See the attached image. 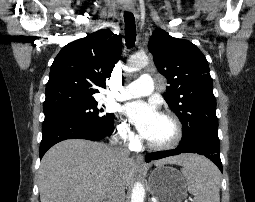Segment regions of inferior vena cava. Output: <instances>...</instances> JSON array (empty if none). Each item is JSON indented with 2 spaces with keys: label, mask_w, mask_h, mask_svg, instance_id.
<instances>
[{
  "label": "inferior vena cava",
  "mask_w": 255,
  "mask_h": 202,
  "mask_svg": "<svg viewBox=\"0 0 255 202\" xmlns=\"http://www.w3.org/2000/svg\"><path fill=\"white\" fill-rule=\"evenodd\" d=\"M119 143V137L113 136L111 141V148L119 157H126L129 155V150L117 145ZM125 187L119 181H111L105 191L104 202H124Z\"/></svg>",
  "instance_id": "obj_1"
}]
</instances>
